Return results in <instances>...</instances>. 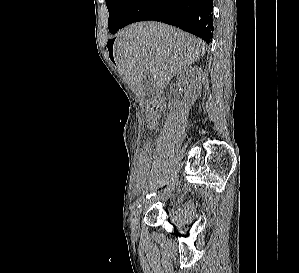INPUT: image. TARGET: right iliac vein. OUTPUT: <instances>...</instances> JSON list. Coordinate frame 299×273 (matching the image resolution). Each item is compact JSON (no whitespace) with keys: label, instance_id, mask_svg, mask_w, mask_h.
Segmentation results:
<instances>
[{"label":"right iliac vein","instance_id":"right-iliac-vein-1","mask_svg":"<svg viewBox=\"0 0 299 273\" xmlns=\"http://www.w3.org/2000/svg\"><path fill=\"white\" fill-rule=\"evenodd\" d=\"M177 182H178V179L177 177L175 176L173 179H172V182L170 183L169 187L167 188V190L164 191L163 194H168L170 192H172L176 186H177ZM146 202L143 201L139 206H137L136 209L133 210L132 214H131V227L132 229L135 231L136 228H137V225H138V220H139V216L143 210V206Z\"/></svg>","mask_w":299,"mask_h":273}]
</instances>
